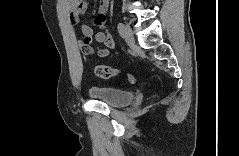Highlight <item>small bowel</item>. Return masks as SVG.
<instances>
[{
	"label": "small bowel",
	"instance_id": "small-bowel-1",
	"mask_svg": "<svg viewBox=\"0 0 239 156\" xmlns=\"http://www.w3.org/2000/svg\"><path fill=\"white\" fill-rule=\"evenodd\" d=\"M87 6L88 4L84 0L66 1L69 21L75 29L79 28L83 35L79 47L85 55H92L95 53L100 58L108 57L116 47L112 36L106 29V13L109 8V2L103 0L99 5V12L95 22L101 29L97 32H94L90 25L80 23V17L86 12ZM101 43L106 47L102 48L96 45Z\"/></svg>",
	"mask_w": 239,
	"mask_h": 156
}]
</instances>
